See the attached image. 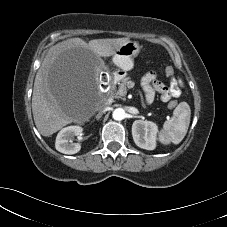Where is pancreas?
Masks as SVG:
<instances>
[{
    "instance_id": "pancreas-1",
    "label": "pancreas",
    "mask_w": 227,
    "mask_h": 227,
    "mask_svg": "<svg viewBox=\"0 0 227 227\" xmlns=\"http://www.w3.org/2000/svg\"><path fill=\"white\" fill-rule=\"evenodd\" d=\"M129 83V77H124L118 81L119 88L117 92L113 95L115 98H122L127 94V85Z\"/></svg>"
}]
</instances>
